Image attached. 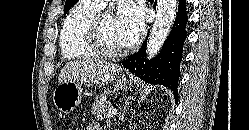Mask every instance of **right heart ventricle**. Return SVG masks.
<instances>
[{"label": "right heart ventricle", "instance_id": "e07e8e85", "mask_svg": "<svg viewBox=\"0 0 249 130\" xmlns=\"http://www.w3.org/2000/svg\"><path fill=\"white\" fill-rule=\"evenodd\" d=\"M101 10L90 0H79L64 19L60 29V48L64 58H90L96 53L86 39V29L93 16Z\"/></svg>", "mask_w": 249, "mask_h": 130}]
</instances>
